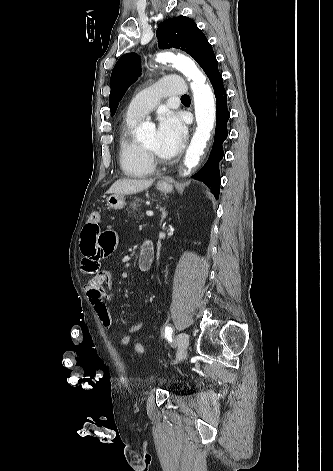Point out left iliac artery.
I'll list each match as a JSON object with an SVG mask.
<instances>
[{
	"label": "left iliac artery",
	"instance_id": "left-iliac-artery-1",
	"mask_svg": "<svg viewBox=\"0 0 333 471\" xmlns=\"http://www.w3.org/2000/svg\"><path fill=\"white\" fill-rule=\"evenodd\" d=\"M173 329L170 326L165 327V337L167 339L172 337Z\"/></svg>",
	"mask_w": 333,
	"mask_h": 471
}]
</instances>
